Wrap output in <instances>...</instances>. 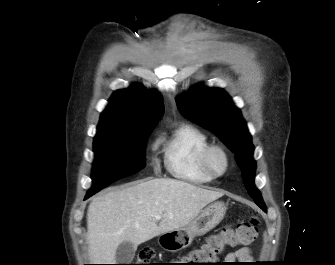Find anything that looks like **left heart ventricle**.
Instances as JSON below:
<instances>
[{"label":"left heart ventricle","instance_id":"obj_1","mask_svg":"<svg viewBox=\"0 0 335 265\" xmlns=\"http://www.w3.org/2000/svg\"><path fill=\"white\" fill-rule=\"evenodd\" d=\"M212 164L216 170L221 171L224 168L223 157L218 153L214 154L212 157Z\"/></svg>","mask_w":335,"mask_h":265}]
</instances>
